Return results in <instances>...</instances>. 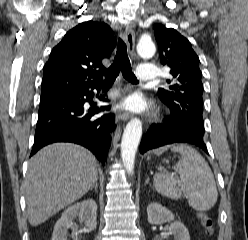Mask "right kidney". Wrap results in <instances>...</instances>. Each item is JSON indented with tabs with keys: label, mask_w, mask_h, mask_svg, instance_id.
<instances>
[{
	"label": "right kidney",
	"mask_w": 248,
	"mask_h": 240,
	"mask_svg": "<svg viewBox=\"0 0 248 240\" xmlns=\"http://www.w3.org/2000/svg\"><path fill=\"white\" fill-rule=\"evenodd\" d=\"M79 218L85 223L84 231H74L72 238L78 240L79 234L92 231L97 225V204L87 199L68 207L56 222L51 240H67V230L73 228L74 219Z\"/></svg>",
	"instance_id": "right-kidney-1"
}]
</instances>
